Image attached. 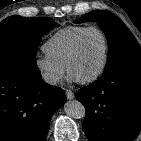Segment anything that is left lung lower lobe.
<instances>
[{"mask_svg":"<svg viewBox=\"0 0 141 141\" xmlns=\"http://www.w3.org/2000/svg\"><path fill=\"white\" fill-rule=\"evenodd\" d=\"M89 141H132L141 129V65L121 66L76 92Z\"/></svg>","mask_w":141,"mask_h":141,"instance_id":"1","label":"left lung lower lobe"}]
</instances>
